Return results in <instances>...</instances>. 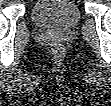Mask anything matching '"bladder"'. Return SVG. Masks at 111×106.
<instances>
[{
    "label": "bladder",
    "mask_w": 111,
    "mask_h": 106,
    "mask_svg": "<svg viewBox=\"0 0 111 106\" xmlns=\"http://www.w3.org/2000/svg\"><path fill=\"white\" fill-rule=\"evenodd\" d=\"M82 15L72 0H38L31 9V19L39 27L57 31L75 28Z\"/></svg>",
    "instance_id": "bladder-1"
}]
</instances>
